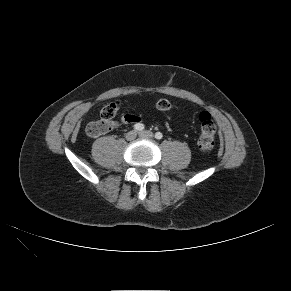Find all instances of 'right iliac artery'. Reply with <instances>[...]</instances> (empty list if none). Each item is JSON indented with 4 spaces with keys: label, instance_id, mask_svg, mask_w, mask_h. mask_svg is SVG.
Listing matches in <instances>:
<instances>
[{
    "label": "right iliac artery",
    "instance_id": "82829eb1",
    "mask_svg": "<svg viewBox=\"0 0 291 291\" xmlns=\"http://www.w3.org/2000/svg\"><path fill=\"white\" fill-rule=\"evenodd\" d=\"M134 129L136 131H142L144 129V125L142 123H137L134 125Z\"/></svg>",
    "mask_w": 291,
    "mask_h": 291
}]
</instances>
